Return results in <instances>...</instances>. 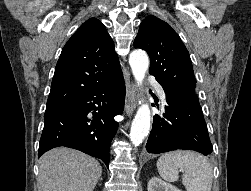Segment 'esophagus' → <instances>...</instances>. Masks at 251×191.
Returning a JSON list of instances; mask_svg holds the SVG:
<instances>
[{"label": "esophagus", "mask_w": 251, "mask_h": 191, "mask_svg": "<svg viewBox=\"0 0 251 191\" xmlns=\"http://www.w3.org/2000/svg\"><path fill=\"white\" fill-rule=\"evenodd\" d=\"M137 92V84L131 81L125 99V112L128 115L132 114L137 107Z\"/></svg>", "instance_id": "esophagus-1"}]
</instances>
